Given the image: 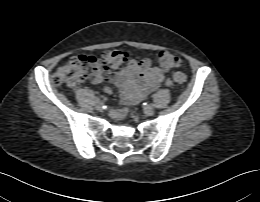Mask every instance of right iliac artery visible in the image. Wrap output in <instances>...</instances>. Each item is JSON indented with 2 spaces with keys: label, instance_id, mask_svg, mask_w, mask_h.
<instances>
[{
  "label": "right iliac artery",
  "instance_id": "right-iliac-artery-1",
  "mask_svg": "<svg viewBox=\"0 0 260 202\" xmlns=\"http://www.w3.org/2000/svg\"><path fill=\"white\" fill-rule=\"evenodd\" d=\"M96 100H97V102H98V101H100V100H101V98H100V97H96Z\"/></svg>",
  "mask_w": 260,
  "mask_h": 202
}]
</instances>
